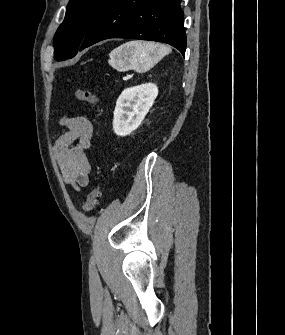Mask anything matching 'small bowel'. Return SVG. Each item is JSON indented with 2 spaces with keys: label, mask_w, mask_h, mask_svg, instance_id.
I'll return each mask as SVG.
<instances>
[{
  "label": "small bowel",
  "mask_w": 285,
  "mask_h": 335,
  "mask_svg": "<svg viewBox=\"0 0 285 335\" xmlns=\"http://www.w3.org/2000/svg\"><path fill=\"white\" fill-rule=\"evenodd\" d=\"M60 123L67 130L54 145L58 166L64 181L80 190L89 183L91 164L87 151L93 148V125L86 116L64 117Z\"/></svg>",
  "instance_id": "small-bowel-1"
}]
</instances>
